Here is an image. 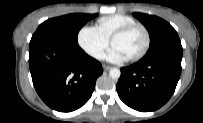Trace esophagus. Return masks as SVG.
<instances>
[{
  "mask_svg": "<svg viewBox=\"0 0 203 123\" xmlns=\"http://www.w3.org/2000/svg\"><path fill=\"white\" fill-rule=\"evenodd\" d=\"M103 69H104V70H106V71H108V70H110V69H111V67H110V66H108V65H103Z\"/></svg>",
  "mask_w": 203,
  "mask_h": 123,
  "instance_id": "obj_1",
  "label": "esophagus"
}]
</instances>
